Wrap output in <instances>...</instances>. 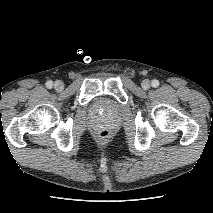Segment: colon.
Returning <instances> with one entry per match:
<instances>
[{
  "instance_id": "1",
  "label": "colon",
  "mask_w": 213,
  "mask_h": 213,
  "mask_svg": "<svg viewBox=\"0 0 213 213\" xmlns=\"http://www.w3.org/2000/svg\"><path fill=\"white\" fill-rule=\"evenodd\" d=\"M110 134L106 130H102L98 133V138L102 141H106L109 138Z\"/></svg>"
}]
</instances>
